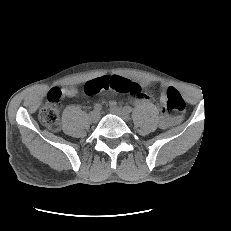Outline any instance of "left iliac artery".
Segmentation results:
<instances>
[{
	"label": "left iliac artery",
	"instance_id": "left-iliac-artery-1",
	"mask_svg": "<svg viewBox=\"0 0 231 231\" xmlns=\"http://www.w3.org/2000/svg\"><path fill=\"white\" fill-rule=\"evenodd\" d=\"M124 110H125L126 112H128V113H131L132 110H133V108H132L131 106H125V107H124Z\"/></svg>",
	"mask_w": 231,
	"mask_h": 231
}]
</instances>
